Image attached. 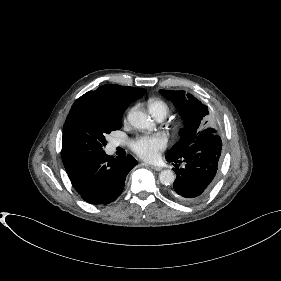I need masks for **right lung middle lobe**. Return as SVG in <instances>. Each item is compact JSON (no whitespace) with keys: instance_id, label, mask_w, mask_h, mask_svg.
I'll list each match as a JSON object with an SVG mask.
<instances>
[{"instance_id":"dd1d6c3e","label":"right lung middle lobe","mask_w":281,"mask_h":281,"mask_svg":"<svg viewBox=\"0 0 281 281\" xmlns=\"http://www.w3.org/2000/svg\"><path fill=\"white\" fill-rule=\"evenodd\" d=\"M123 110L81 96L73 104L63 127L62 160L66 170L84 159L102 153L105 135L119 130Z\"/></svg>"}]
</instances>
